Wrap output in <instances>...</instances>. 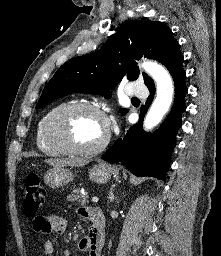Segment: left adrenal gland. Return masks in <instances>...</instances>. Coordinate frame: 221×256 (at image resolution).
Returning a JSON list of instances; mask_svg holds the SVG:
<instances>
[{
	"label": "left adrenal gland",
	"mask_w": 221,
	"mask_h": 256,
	"mask_svg": "<svg viewBox=\"0 0 221 256\" xmlns=\"http://www.w3.org/2000/svg\"><path fill=\"white\" fill-rule=\"evenodd\" d=\"M109 200H110V202L114 201V194L112 191H110V193H109Z\"/></svg>",
	"instance_id": "a2214340"
}]
</instances>
